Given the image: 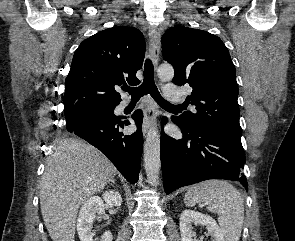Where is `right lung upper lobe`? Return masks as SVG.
Returning <instances> with one entry per match:
<instances>
[{
    "label": "right lung upper lobe",
    "instance_id": "right-lung-upper-lobe-1",
    "mask_svg": "<svg viewBox=\"0 0 295 241\" xmlns=\"http://www.w3.org/2000/svg\"><path fill=\"white\" fill-rule=\"evenodd\" d=\"M145 57V40L133 27L108 28L85 39L75 51L66 78L64 112L118 105L115 85L138 84L136 72Z\"/></svg>",
    "mask_w": 295,
    "mask_h": 241
}]
</instances>
